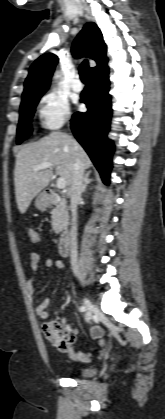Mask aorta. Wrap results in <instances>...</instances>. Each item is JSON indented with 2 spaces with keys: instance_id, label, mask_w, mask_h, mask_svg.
I'll return each mask as SVG.
<instances>
[{
  "instance_id": "aorta-1",
  "label": "aorta",
  "mask_w": 165,
  "mask_h": 419,
  "mask_svg": "<svg viewBox=\"0 0 165 419\" xmlns=\"http://www.w3.org/2000/svg\"><path fill=\"white\" fill-rule=\"evenodd\" d=\"M59 77H60V75H59L58 71H57V72H55V74H54V79H58Z\"/></svg>"
}]
</instances>
